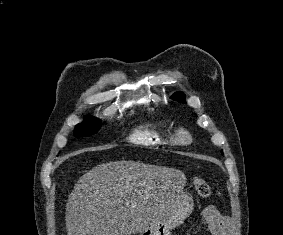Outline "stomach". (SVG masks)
I'll use <instances>...</instances> for the list:
<instances>
[{
    "label": "stomach",
    "instance_id": "obj_1",
    "mask_svg": "<svg viewBox=\"0 0 283 235\" xmlns=\"http://www.w3.org/2000/svg\"><path fill=\"white\" fill-rule=\"evenodd\" d=\"M193 210V200L185 191L175 193L168 212L159 220L145 227L139 235H171V230L183 223Z\"/></svg>",
    "mask_w": 283,
    "mask_h": 235
}]
</instances>
